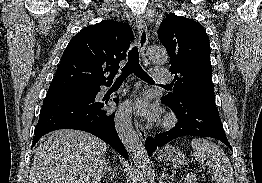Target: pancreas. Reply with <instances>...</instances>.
Returning a JSON list of instances; mask_svg holds the SVG:
<instances>
[{
	"label": "pancreas",
	"mask_w": 262,
	"mask_h": 183,
	"mask_svg": "<svg viewBox=\"0 0 262 183\" xmlns=\"http://www.w3.org/2000/svg\"><path fill=\"white\" fill-rule=\"evenodd\" d=\"M193 176V175H192ZM190 177V176H189ZM194 177V176H193ZM190 178L188 181H186L185 183H196V179L195 178Z\"/></svg>",
	"instance_id": "cf45deb5"
}]
</instances>
